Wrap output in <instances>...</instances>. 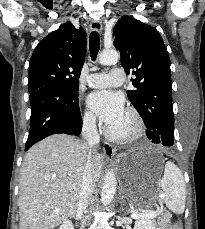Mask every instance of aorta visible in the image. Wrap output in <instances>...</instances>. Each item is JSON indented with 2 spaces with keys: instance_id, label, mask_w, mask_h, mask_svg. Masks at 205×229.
I'll return each instance as SVG.
<instances>
[{
  "instance_id": "1",
  "label": "aorta",
  "mask_w": 205,
  "mask_h": 229,
  "mask_svg": "<svg viewBox=\"0 0 205 229\" xmlns=\"http://www.w3.org/2000/svg\"><path fill=\"white\" fill-rule=\"evenodd\" d=\"M119 53L116 50H105L99 55V62L102 65H112L119 60ZM116 192V178L113 171L106 172L103 179L101 191V203L108 205L112 202Z\"/></svg>"
}]
</instances>
